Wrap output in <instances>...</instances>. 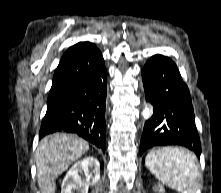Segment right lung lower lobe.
Wrapping results in <instances>:
<instances>
[{
    "label": "right lung lower lobe",
    "mask_w": 221,
    "mask_h": 193,
    "mask_svg": "<svg viewBox=\"0 0 221 193\" xmlns=\"http://www.w3.org/2000/svg\"><path fill=\"white\" fill-rule=\"evenodd\" d=\"M106 94L107 70L102 59L58 101L60 108L44 117L39 138L54 132L74 133L105 150Z\"/></svg>",
    "instance_id": "obj_1"
}]
</instances>
